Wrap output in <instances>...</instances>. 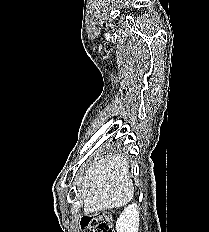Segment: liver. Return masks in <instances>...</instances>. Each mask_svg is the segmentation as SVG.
Returning a JSON list of instances; mask_svg holds the SVG:
<instances>
[{
  "label": "liver",
  "mask_w": 209,
  "mask_h": 232,
  "mask_svg": "<svg viewBox=\"0 0 209 232\" xmlns=\"http://www.w3.org/2000/svg\"><path fill=\"white\" fill-rule=\"evenodd\" d=\"M78 183L85 214L122 207L134 196L129 165L123 156L95 158Z\"/></svg>",
  "instance_id": "1"
}]
</instances>
